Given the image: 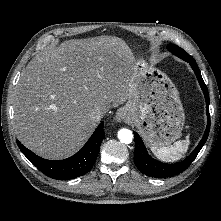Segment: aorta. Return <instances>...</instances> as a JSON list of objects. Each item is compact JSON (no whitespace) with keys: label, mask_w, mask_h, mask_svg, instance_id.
I'll list each match as a JSON object with an SVG mask.
<instances>
[{"label":"aorta","mask_w":221,"mask_h":221,"mask_svg":"<svg viewBox=\"0 0 221 221\" xmlns=\"http://www.w3.org/2000/svg\"><path fill=\"white\" fill-rule=\"evenodd\" d=\"M118 139L121 143L129 144L133 140V133L129 129L122 128L118 131Z\"/></svg>","instance_id":"1"}]
</instances>
